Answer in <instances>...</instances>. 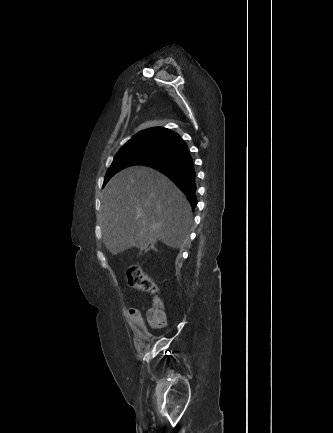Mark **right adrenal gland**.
Here are the masks:
<instances>
[{
  "label": "right adrenal gland",
  "instance_id": "2a0ac1e0",
  "mask_svg": "<svg viewBox=\"0 0 333 433\" xmlns=\"http://www.w3.org/2000/svg\"><path fill=\"white\" fill-rule=\"evenodd\" d=\"M156 250V248H155V246H154V244H151V246L149 247V248H147L145 251L147 252V251H149V250Z\"/></svg>",
  "mask_w": 333,
  "mask_h": 433
}]
</instances>
